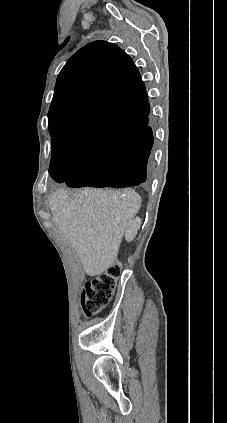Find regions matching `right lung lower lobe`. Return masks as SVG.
I'll list each match as a JSON object with an SVG mask.
<instances>
[{
	"label": "right lung lower lobe",
	"mask_w": 227,
	"mask_h": 423,
	"mask_svg": "<svg viewBox=\"0 0 227 423\" xmlns=\"http://www.w3.org/2000/svg\"><path fill=\"white\" fill-rule=\"evenodd\" d=\"M98 112L108 120L129 122L132 125L129 136L87 153L73 172L72 165L66 160L51 162V177L72 188L147 185L154 164V137L148 126V96L130 103L104 106Z\"/></svg>",
	"instance_id": "1"
}]
</instances>
